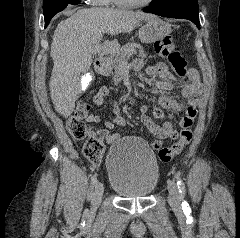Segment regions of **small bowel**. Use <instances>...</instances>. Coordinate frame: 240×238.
<instances>
[{"label": "small bowel", "mask_w": 240, "mask_h": 238, "mask_svg": "<svg viewBox=\"0 0 240 238\" xmlns=\"http://www.w3.org/2000/svg\"><path fill=\"white\" fill-rule=\"evenodd\" d=\"M143 67V62L141 60H136L133 62V68L135 70H140ZM149 75L153 76L156 80V87L161 90H172L181 88V100H175L168 96L161 94L158 97V105L153 108V116L156 119H164V113L162 108L170 109L176 112L184 111V116L177 121L178 126L181 128L190 127L197 114L198 107V96L201 93V81L199 73L191 69L188 73V81L181 85L172 73L169 71V67L164 62H159L147 68ZM109 94V88L103 86L99 89L98 93L94 96L93 102L100 106L104 103L105 97ZM112 109L114 112V117L111 120L104 122L106 131L105 138L107 143L112 144L120 139L118 133L113 132L116 127L123 126L125 120L120 113V108L117 102L112 103ZM142 123L150 131V133L156 138L152 143L153 148H159L164 139L176 138L177 131L174 129V124L170 120H165L162 125L156 124L153 119L148 115V107L143 105L139 110ZM86 120L91 123H99L102 121L101 116L97 114H88Z\"/></svg>", "instance_id": "1"}]
</instances>
